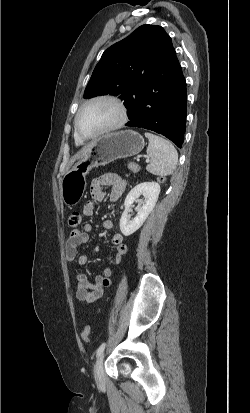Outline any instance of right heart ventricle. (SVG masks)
<instances>
[{"label": "right heart ventricle", "instance_id": "e07e8e85", "mask_svg": "<svg viewBox=\"0 0 250 413\" xmlns=\"http://www.w3.org/2000/svg\"><path fill=\"white\" fill-rule=\"evenodd\" d=\"M75 143L77 145H81L83 143V141L81 139H79L76 135H75Z\"/></svg>", "mask_w": 250, "mask_h": 413}]
</instances>
